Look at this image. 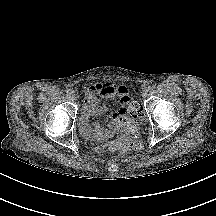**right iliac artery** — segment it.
Masks as SVG:
<instances>
[{"label":"right iliac artery","mask_w":216,"mask_h":216,"mask_svg":"<svg viewBox=\"0 0 216 216\" xmlns=\"http://www.w3.org/2000/svg\"><path fill=\"white\" fill-rule=\"evenodd\" d=\"M66 92H67L68 94H71L73 91H72L71 89H67Z\"/></svg>","instance_id":"right-iliac-artery-1"}]
</instances>
